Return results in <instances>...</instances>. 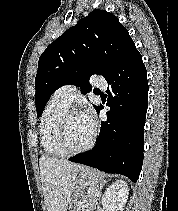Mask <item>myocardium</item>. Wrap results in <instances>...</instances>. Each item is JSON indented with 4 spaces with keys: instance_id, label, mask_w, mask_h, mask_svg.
<instances>
[{
    "instance_id": "1",
    "label": "myocardium",
    "mask_w": 178,
    "mask_h": 211,
    "mask_svg": "<svg viewBox=\"0 0 178 211\" xmlns=\"http://www.w3.org/2000/svg\"><path fill=\"white\" fill-rule=\"evenodd\" d=\"M73 114H80V113L76 109H68L64 113L62 120H61L58 137H57V144H58L60 150L62 151L63 155H65V156L77 155V154H81V153L88 151L89 149H91L94 146L96 139H97V135H98V128L94 125L92 137H91L90 141L85 146H83L82 148L77 149V150L69 149L66 144V134H67L69 118Z\"/></svg>"
}]
</instances>
